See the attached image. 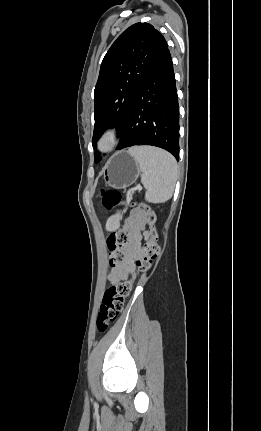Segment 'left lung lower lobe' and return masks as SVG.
<instances>
[{
    "instance_id": "obj_1",
    "label": "left lung lower lobe",
    "mask_w": 261,
    "mask_h": 431,
    "mask_svg": "<svg viewBox=\"0 0 261 431\" xmlns=\"http://www.w3.org/2000/svg\"><path fill=\"white\" fill-rule=\"evenodd\" d=\"M134 145L157 146L179 159V106L168 48L135 95L117 149Z\"/></svg>"
}]
</instances>
